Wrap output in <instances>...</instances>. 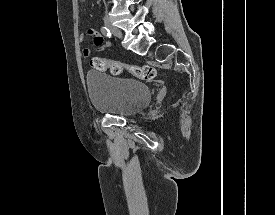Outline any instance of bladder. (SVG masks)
<instances>
[{"label": "bladder", "instance_id": "bladder-1", "mask_svg": "<svg viewBox=\"0 0 275 215\" xmlns=\"http://www.w3.org/2000/svg\"><path fill=\"white\" fill-rule=\"evenodd\" d=\"M86 82L93 107L115 116L135 115L146 108L152 92L143 82L89 71Z\"/></svg>", "mask_w": 275, "mask_h": 215}]
</instances>
